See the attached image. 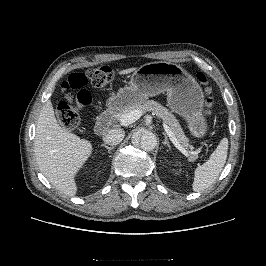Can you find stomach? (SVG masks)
Wrapping results in <instances>:
<instances>
[{"label": "stomach", "mask_w": 266, "mask_h": 266, "mask_svg": "<svg viewBox=\"0 0 266 266\" xmlns=\"http://www.w3.org/2000/svg\"><path fill=\"white\" fill-rule=\"evenodd\" d=\"M164 92L167 106L185 119L191 135L204 137L207 131L203 116L204 93L187 70L176 63L158 61L142 65L132 74L130 85L108 100V107L124 109Z\"/></svg>", "instance_id": "1"}]
</instances>
